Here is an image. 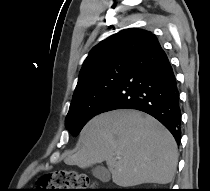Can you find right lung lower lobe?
I'll return each mask as SVG.
<instances>
[{"mask_svg":"<svg viewBox=\"0 0 210 191\" xmlns=\"http://www.w3.org/2000/svg\"><path fill=\"white\" fill-rule=\"evenodd\" d=\"M115 109H136L160 121L179 144L181 110L172 66L155 35L130 60L126 72L98 114Z\"/></svg>","mask_w":210,"mask_h":191,"instance_id":"98d812e1","label":"right lung lower lobe"}]
</instances>
